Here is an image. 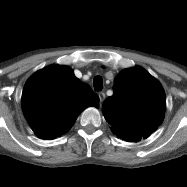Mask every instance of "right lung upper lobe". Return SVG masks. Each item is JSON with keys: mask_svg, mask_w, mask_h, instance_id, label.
Returning a JSON list of instances; mask_svg holds the SVG:
<instances>
[{"mask_svg": "<svg viewBox=\"0 0 187 187\" xmlns=\"http://www.w3.org/2000/svg\"><path fill=\"white\" fill-rule=\"evenodd\" d=\"M21 103L34 133L42 139H54L66 133L85 108L97 107L99 98L71 68L50 65L27 80Z\"/></svg>", "mask_w": 187, "mask_h": 187, "instance_id": "right-lung-upper-lobe-1", "label": "right lung upper lobe"}]
</instances>
